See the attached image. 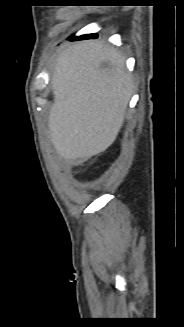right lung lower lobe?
Wrapping results in <instances>:
<instances>
[{"label":"right lung lower lobe","mask_w":184,"mask_h":327,"mask_svg":"<svg viewBox=\"0 0 184 327\" xmlns=\"http://www.w3.org/2000/svg\"><path fill=\"white\" fill-rule=\"evenodd\" d=\"M97 35L96 34H90V35H82V36H79V37H76L74 39H87V38H96ZM73 37H70V39H72Z\"/></svg>","instance_id":"98d812e1"}]
</instances>
